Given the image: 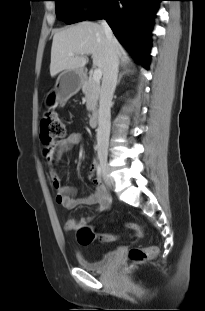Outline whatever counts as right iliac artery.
<instances>
[{"label": "right iliac artery", "instance_id": "1", "mask_svg": "<svg viewBox=\"0 0 205 311\" xmlns=\"http://www.w3.org/2000/svg\"><path fill=\"white\" fill-rule=\"evenodd\" d=\"M96 170H97V176L99 178H101V176H102V167H101V164L99 162H96Z\"/></svg>", "mask_w": 205, "mask_h": 311}]
</instances>
